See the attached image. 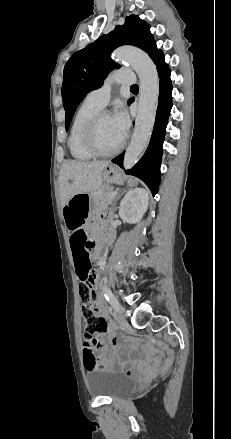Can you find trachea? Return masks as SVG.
<instances>
[{"label": "trachea", "mask_w": 231, "mask_h": 439, "mask_svg": "<svg viewBox=\"0 0 231 439\" xmlns=\"http://www.w3.org/2000/svg\"><path fill=\"white\" fill-rule=\"evenodd\" d=\"M131 89H132V90H136V89H138V85H137V84L132 85V86H131Z\"/></svg>", "instance_id": "1"}]
</instances>
